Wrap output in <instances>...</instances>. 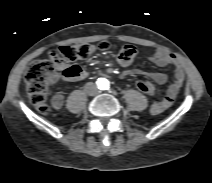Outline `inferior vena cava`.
Listing matches in <instances>:
<instances>
[{
	"label": "inferior vena cava",
	"instance_id": "obj_1",
	"mask_svg": "<svg viewBox=\"0 0 212 183\" xmlns=\"http://www.w3.org/2000/svg\"><path fill=\"white\" fill-rule=\"evenodd\" d=\"M85 90H86L87 94L90 96H96L100 93V91L98 90L96 85L92 82H89L85 85Z\"/></svg>",
	"mask_w": 212,
	"mask_h": 183
}]
</instances>
